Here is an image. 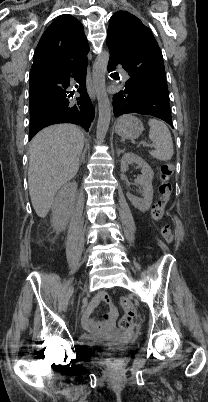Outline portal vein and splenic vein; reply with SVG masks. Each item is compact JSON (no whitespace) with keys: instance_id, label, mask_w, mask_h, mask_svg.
<instances>
[{"instance_id":"obj_1","label":"portal vein and splenic vein","mask_w":208,"mask_h":402,"mask_svg":"<svg viewBox=\"0 0 208 402\" xmlns=\"http://www.w3.org/2000/svg\"><path fill=\"white\" fill-rule=\"evenodd\" d=\"M141 144H144V146H154V144H146V142H141Z\"/></svg>"}]
</instances>
